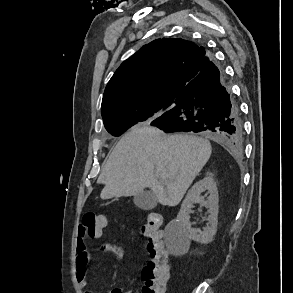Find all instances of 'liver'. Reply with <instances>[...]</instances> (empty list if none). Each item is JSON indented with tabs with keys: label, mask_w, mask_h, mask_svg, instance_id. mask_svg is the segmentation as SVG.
<instances>
[{
	"label": "liver",
	"mask_w": 293,
	"mask_h": 293,
	"mask_svg": "<svg viewBox=\"0 0 293 293\" xmlns=\"http://www.w3.org/2000/svg\"><path fill=\"white\" fill-rule=\"evenodd\" d=\"M207 139L137 125L115 146L98 178L100 198L135 196L150 188L160 204L176 206L211 156Z\"/></svg>",
	"instance_id": "1"
}]
</instances>
